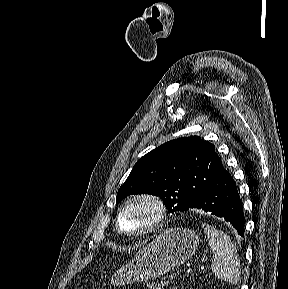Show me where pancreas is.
I'll return each instance as SVG.
<instances>
[{
    "label": "pancreas",
    "mask_w": 288,
    "mask_h": 289,
    "mask_svg": "<svg viewBox=\"0 0 288 289\" xmlns=\"http://www.w3.org/2000/svg\"><path fill=\"white\" fill-rule=\"evenodd\" d=\"M167 283L164 281V278L159 282H152L148 285L149 289H162Z\"/></svg>",
    "instance_id": "obj_1"
}]
</instances>
